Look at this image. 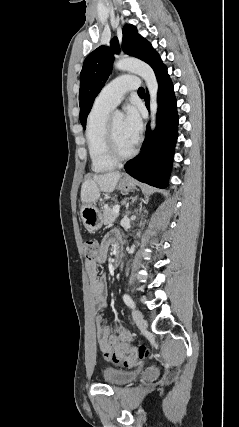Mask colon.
I'll use <instances>...</instances> for the list:
<instances>
[{"label":"colon","instance_id":"1","mask_svg":"<svg viewBox=\"0 0 239 427\" xmlns=\"http://www.w3.org/2000/svg\"><path fill=\"white\" fill-rule=\"evenodd\" d=\"M99 250V243L96 239H90L83 243V252L88 261L96 258ZM112 358L116 363L122 362L125 366H135L146 359L149 349L143 345L138 347L130 346L126 343H112Z\"/></svg>","mask_w":239,"mask_h":427}]
</instances>
